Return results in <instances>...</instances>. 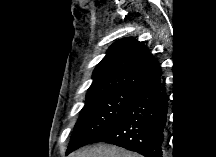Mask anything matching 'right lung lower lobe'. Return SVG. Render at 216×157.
Here are the masks:
<instances>
[{"label": "right lung lower lobe", "mask_w": 216, "mask_h": 157, "mask_svg": "<svg viewBox=\"0 0 216 157\" xmlns=\"http://www.w3.org/2000/svg\"><path fill=\"white\" fill-rule=\"evenodd\" d=\"M168 96L161 75L136 88L121 117L95 142H105L136 151L144 157H164Z\"/></svg>", "instance_id": "obj_1"}]
</instances>
